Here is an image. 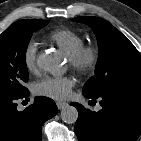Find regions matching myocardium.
Wrapping results in <instances>:
<instances>
[{"label": "myocardium", "mask_w": 141, "mask_h": 141, "mask_svg": "<svg viewBox=\"0 0 141 141\" xmlns=\"http://www.w3.org/2000/svg\"><path fill=\"white\" fill-rule=\"evenodd\" d=\"M101 52L97 45H83L74 55L69 57L71 68L80 75L92 74L100 61Z\"/></svg>", "instance_id": "obj_1"}]
</instances>
